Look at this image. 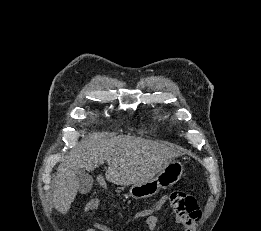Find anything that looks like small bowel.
<instances>
[{"label": "small bowel", "mask_w": 261, "mask_h": 231, "mask_svg": "<svg viewBox=\"0 0 261 231\" xmlns=\"http://www.w3.org/2000/svg\"><path fill=\"white\" fill-rule=\"evenodd\" d=\"M99 208V200L96 198H90L87 200L84 210L86 213H92ZM140 216L145 217V225L149 231H156L158 228V218L152 213V211L148 212L146 210H142L139 212ZM176 221L181 223L184 226L185 231H197L198 229V221L190 220L188 222L182 221L178 217H176ZM86 231H116L114 228L102 224L95 223L93 227H89Z\"/></svg>", "instance_id": "obj_1"}]
</instances>
